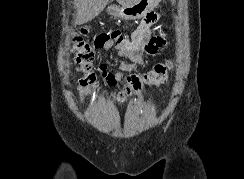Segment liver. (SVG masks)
Instances as JSON below:
<instances>
[{"label": "liver", "instance_id": "1", "mask_svg": "<svg viewBox=\"0 0 244 179\" xmlns=\"http://www.w3.org/2000/svg\"><path fill=\"white\" fill-rule=\"evenodd\" d=\"M74 2L77 6L78 22L86 24L102 12L109 0H74Z\"/></svg>", "mask_w": 244, "mask_h": 179}]
</instances>
